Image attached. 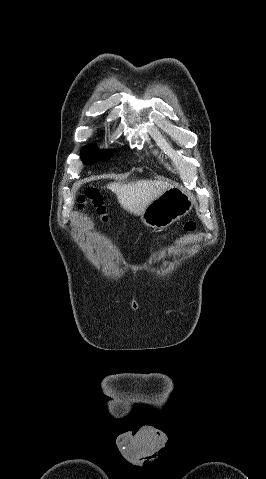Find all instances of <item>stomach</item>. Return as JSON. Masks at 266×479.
<instances>
[{"mask_svg":"<svg viewBox=\"0 0 266 479\" xmlns=\"http://www.w3.org/2000/svg\"><path fill=\"white\" fill-rule=\"evenodd\" d=\"M192 196L181 187H170L154 199L142 212V222L162 230L186 216L193 208Z\"/></svg>","mask_w":266,"mask_h":479,"instance_id":"obj_1","label":"stomach"}]
</instances>
